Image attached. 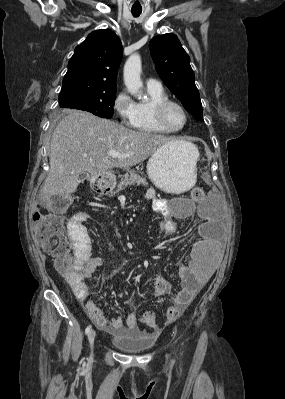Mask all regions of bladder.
<instances>
[{"label":"bladder","instance_id":"31cf9c89","mask_svg":"<svg viewBox=\"0 0 285 399\" xmlns=\"http://www.w3.org/2000/svg\"><path fill=\"white\" fill-rule=\"evenodd\" d=\"M111 342L121 351L135 354L150 350L154 344V338L151 333L138 331L134 336L116 337Z\"/></svg>","mask_w":285,"mask_h":399}]
</instances>
